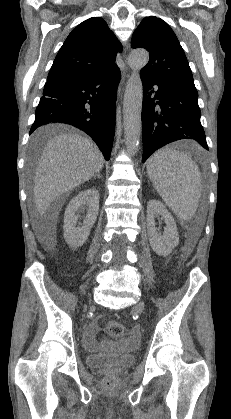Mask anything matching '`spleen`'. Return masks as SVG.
Listing matches in <instances>:
<instances>
[{
    "label": "spleen",
    "mask_w": 231,
    "mask_h": 419,
    "mask_svg": "<svg viewBox=\"0 0 231 419\" xmlns=\"http://www.w3.org/2000/svg\"><path fill=\"white\" fill-rule=\"evenodd\" d=\"M147 173L177 217L189 220L194 216L201 196V173L187 154L169 147L160 149L148 160Z\"/></svg>",
    "instance_id": "spleen-1"
}]
</instances>
